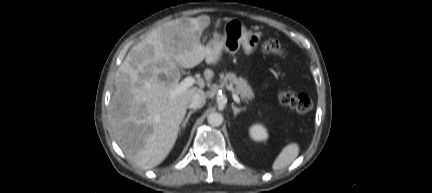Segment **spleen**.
<instances>
[{
	"instance_id": "obj_1",
	"label": "spleen",
	"mask_w": 432,
	"mask_h": 193,
	"mask_svg": "<svg viewBox=\"0 0 432 193\" xmlns=\"http://www.w3.org/2000/svg\"><path fill=\"white\" fill-rule=\"evenodd\" d=\"M299 154V146L297 143L286 145L272 164L273 171H278L290 165Z\"/></svg>"
}]
</instances>
